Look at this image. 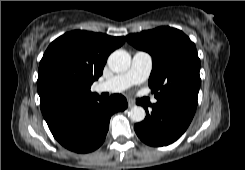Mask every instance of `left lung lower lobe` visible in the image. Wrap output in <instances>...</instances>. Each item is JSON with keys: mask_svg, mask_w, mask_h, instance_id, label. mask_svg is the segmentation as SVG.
Here are the masks:
<instances>
[{"mask_svg": "<svg viewBox=\"0 0 245 170\" xmlns=\"http://www.w3.org/2000/svg\"><path fill=\"white\" fill-rule=\"evenodd\" d=\"M145 120L135 124L137 136L150 146H166L175 142L188 128L196 107L179 100H157L148 111Z\"/></svg>", "mask_w": 245, "mask_h": 170, "instance_id": "obj_1", "label": "left lung lower lobe"}]
</instances>
